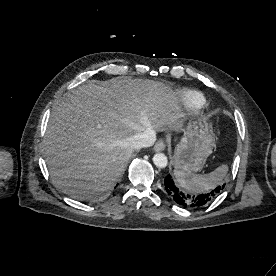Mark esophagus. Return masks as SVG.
I'll return each instance as SVG.
<instances>
[{
    "label": "esophagus",
    "instance_id": "1",
    "mask_svg": "<svg viewBox=\"0 0 276 276\" xmlns=\"http://www.w3.org/2000/svg\"><path fill=\"white\" fill-rule=\"evenodd\" d=\"M166 148V144L163 140H158L157 143L154 145L155 151H163Z\"/></svg>",
    "mask_w": 276,
    "mask_h": 276
}]
</instances>
